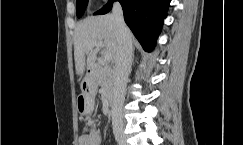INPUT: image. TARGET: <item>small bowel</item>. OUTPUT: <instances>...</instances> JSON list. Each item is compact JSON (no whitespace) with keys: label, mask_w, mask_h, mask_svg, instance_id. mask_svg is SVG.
I'll return each instance as SVG.
<instances>
[{"label":"small bowel","mask_w":243,"mask_h":145,"mask_svg":"<svg viewBox=\"0 0 243 145\" xmlns=\"http://www.w3.org/2000/svg\"><path fill=\"white\" fill-rule=\"evenodd\" d=\"M79 145H101V136L96 130H89L79 137Z\"/></svg>","instance_id":"1"}]
</instances>
